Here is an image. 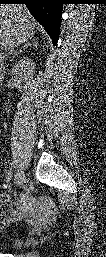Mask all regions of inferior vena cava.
Instances as JSON below:
<instances>
[{
	"mask_svg": "<svg viewBox=\"0 0 106 257\" xmlns=\"http://www.w3.org/2000/svg\"><path fill=\"white\" fill-rule=\"evenodd\" d=\"M14 47H15V45H14V43H11L10 45H9V49H8V54H12V52H13V50H14ZM6 54L3 56V58H6Z\"/></svg>",
	"mask_w": 106,
	"mask_h": 257,
	"instance_id": "1",
	"label": "inferior vena cava"
}]
</instances>
